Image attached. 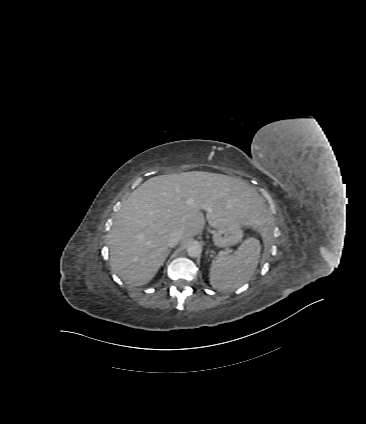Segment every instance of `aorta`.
<instances>
[{
  "instance_id": "1",
  "label": "aorta",
  "mask_w": 366,
  "mask_h": 424,
  "mask_svg": "<svg viewBox=\"0 0 366 424\" xmlns=\"http://www.w3.org/2000/svg\"><path fill=\"white\" fill-rule=\"evenodd\" d=\"M187 253L190 257H198L201 254V247L198 244H189Z\"/></svg>"
}]
</instances>
